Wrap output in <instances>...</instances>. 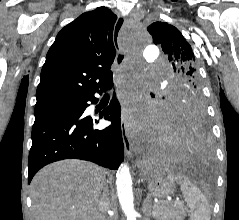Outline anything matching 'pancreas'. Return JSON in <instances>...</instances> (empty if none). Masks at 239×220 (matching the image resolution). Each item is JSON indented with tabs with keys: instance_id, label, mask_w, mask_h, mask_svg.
Wrapping results in <instances>:
<instances>
[{
	"instance_id": "cf45deb5",
	"label": "pancreas",
	"mask_w": 239,
	"mask_h": 220,
	"mask_svg": "<svg viewBox=\"0 0 239 220\" xmlns=\"http://www.w3.org/2000/svg\"><path fill=\"white\" fill-rule=\"evenodd\" d=\"M152 216L156 220H183L185 211L182 205L163 203L154 205Z\"/></svg>"
}]
</instances>
